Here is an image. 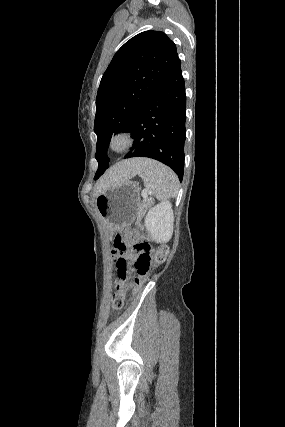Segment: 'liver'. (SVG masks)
<instances>
[{"label": "liver", "mask_w": 285, "mask_h": 427, "mask_svg": "<svg viewBox=\"0 0 285 427\" xmlns=\"http://www.w3.org/2000/svg\"><path fill=\"white\" fill-rule=\"evenodd\" d=\"M145 159L134 158L121 161L112 166L99 180L96 185L94 195H99L101 192L109 188L115 183L122 182L134 177Z\"/></svg>", "instance_id": "6515ba94"}]
</instances>
